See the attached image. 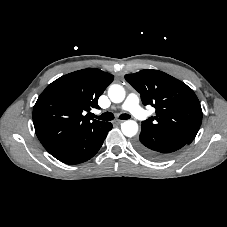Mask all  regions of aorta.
Instances as JSON below:
<instances>
[{"label":"aorta","instance_id":"762f6f07","mask_svg":"<svg viewBox=\"0 0 227 227\" xmlns=\"http://www.w3.org/2000/svg\"><path fill=\"white\" fill-rule=\"evenodd\" d=\"M108 96L113 103H121L125 99V90L121 85L113 84L108 89ZM121 131L127 137H133L138 132V124L127 120L121 124Z\"/></svg>","mask_w":227,"mask_h":227}]
</instances>
